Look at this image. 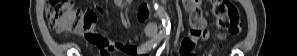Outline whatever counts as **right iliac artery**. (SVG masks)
I'll return each mask as SVG.
<instances>
[{"mask_svg": "<svg viewBox=\"0 0 297 56\" xmlns=\"http://www.w3.org/2000/svg\"><path fill=\"white\" fill-rule=\"evenodd\" d=\"M164 38V35L159 33L156 36H154L151 40L145 42L143 45L140 46L138 49L139 53H145L148 50H151L154 48L162 39Z\"/></svg>", "mask_w": 297, "mask_h": 56, "instance_id": "obj_1", "label": "right iliac artery"}]
</instances>
